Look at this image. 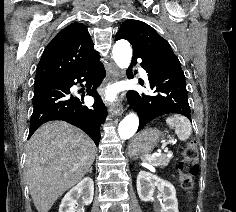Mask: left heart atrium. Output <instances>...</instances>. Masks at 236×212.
<instances>
[{
	"label": "left heart atrium",
	"mask_w": 236,
	"mask_h": 212,
	"mask_svg": "<svg viewBox=\"0 0 236 212\" xmlns=\"http://www.w3.org/2000/svg\"><path fill=\"white\" fill-rule=\"evenodd\" d=\"M107 98H108L109 100H111V99L113 98V94H112V93H108V94H107Z\"/></svg>",
	"instance_id": "obj_1"
}]
</instances>
